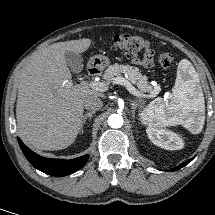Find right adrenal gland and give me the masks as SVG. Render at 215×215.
<instances>
[{"mask_svg": "<svg viewBox=\"0 0 215 215\" xmlns=\"http://www.w3.org/2000/svg\"><path fill=\"white\" fill-rule=\"evenodd\" d=\"M94 113H95L94 111H92V112H88V113H86V114L83 116V121H82V127H81V130H82V129H83V127H84V124H85V122H86V119H87V118H89V120H91L92 115H93Z\"/></svg>", "mask_w": 215, "mask_h": 215, "instance_id": "1", "label": "right adrenal gland"}]
</instances>
